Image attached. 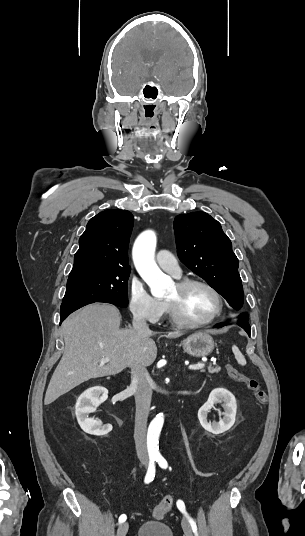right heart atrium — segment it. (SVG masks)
<instances>
[{
	"label": "right heart atrium",
	"mask_w": 305,
	"mask_h": 536,
	"mask_svg": "<svg viewBox=\"0 0 305 536\" xmlns=\"http://www.w3.org/2000/svg\"><path fill=\"white\" fill-rule=\"evenodd\" d=\"M128 293L129 309L135 318L154 322L163 314L164 303L152 297L141 282L132 280Z\"/></svg>",
	"instance_id": "right-heart-atrium-1"
}]
</instances>
